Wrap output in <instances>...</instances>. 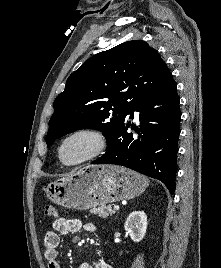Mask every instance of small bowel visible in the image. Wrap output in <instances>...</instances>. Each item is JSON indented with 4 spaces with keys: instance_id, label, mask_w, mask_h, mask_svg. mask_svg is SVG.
Returning a JSON list of instances; mask_svg holds the SVG:
<instances>
[{
    "instance_id": "obj_1",
    "label": "small bowel",
    "mask_w": 221,
    "mask_h": 268,
    "mask_svg": "<svg viewBox=\"0 0 221 268\" xmlns=\"http://www.w3.org/2000/svg\"><path fill=\"white\" fill-rule=\"evenodd\" d=\"M84 229L90 234L97 232V227L93 223L83 224L79 219L57 218L53 222V230L46 232L44 237V257L47 260L48 268H61L58 260L59 234H70ZM79 268H113L106 261H98L95 264L83 262Z\"/></svg>"
}]
</instances>
